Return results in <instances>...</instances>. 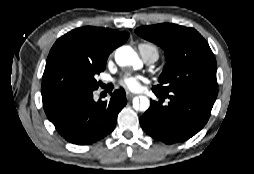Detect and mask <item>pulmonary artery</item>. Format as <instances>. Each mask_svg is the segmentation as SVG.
I'll return each mask as SVG.
<instances>
[{
  "label": "pulmonary artery",
  "instance_id": "obj_1",
  "mask_svg": "<svg viewBox=\"0 0 254 174\" xmlns=\"http://www.w3.org/2000/svg\"><path fill=\"white\" fill-rule=\"evenodd\" d=\"M140 53L142 55L143 60L148 65L155 63L158 59V53L154 50L140 51Z\"/></svg>",
  "mask_w": 254,
  "mask_h": 174
}]
</instances>
